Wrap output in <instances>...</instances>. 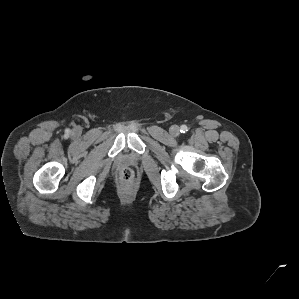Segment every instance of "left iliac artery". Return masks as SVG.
<instances>
[{"mask_svg":"<svg viewBox=\"0 0 299 299\" xmlns=\"http://www.w3.org/2000/svg\"><path fill=\"white\" fill-rule=\"evenodd\" d=\"M180 131H181V133H186V132L188 131L187 126H186V125H182V126L180 127Z\"/></svg>","mask_w":299,"mask_h":299,"instance_id":"1","label":"left iliac artery"}]
</instances>
